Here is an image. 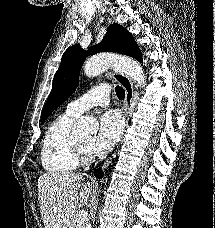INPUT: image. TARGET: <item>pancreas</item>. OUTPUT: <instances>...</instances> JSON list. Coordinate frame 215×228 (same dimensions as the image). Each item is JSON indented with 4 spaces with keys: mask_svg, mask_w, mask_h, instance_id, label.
Listing matches in <instances>:
<instances>
[{
    "mask_svg": "<svg viewBox=\"0 0 215 228\" xmlns=\"http://www.w3.org/2000/svg\"><path fill=\"white\" fill-rule=\"evenodd\" d=\"M74 228H82V226H76V222H75Z\"/></svg>",
    "mask_w": 215,
    "mask_h": 228,
    "instance_id": "obj_1",
    "label": "pancreas"
}]
</instances>
